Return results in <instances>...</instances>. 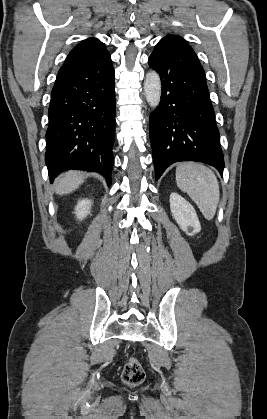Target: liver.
<instances>
[{
  "label": "liver",
  "instance_id": "liver-1",
  "mask_svg": "<svg viewBox=\"0 0 267 419\" xmlns=\"http://www.w3.org/2000/svg\"><path fill=\"white\" fill-rule=\"evenodd\" d=\"M84 175L76 171H67L62 174L57 182L56 193L59 195L69 194L75 191L83 183Z\"/></svg>",
  "mask_w": 267,
  "mask_h": 419
}]
</instances>
